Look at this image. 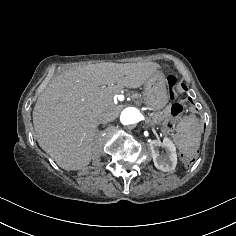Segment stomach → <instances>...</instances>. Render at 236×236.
Segmentation results:
<instances>
[{
  "instance_id": "1",
  "label": "stomach",
  "mask_w": 236,
  "mask_h": 236,
  "mask_svg": "<svg viewBox=\"0 0 236 236\" xmlns=\"http://www.w3.org/2000/svg\"><path fill=\"white\" fill-rule=\"evenodd\" d=\"M143 102L145 106L154 112H159L165 108L169 102L165 76L162 73L151 78L145 83Z\"/></svg>"
}]
</instances>
